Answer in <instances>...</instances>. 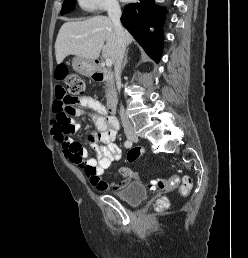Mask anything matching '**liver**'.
Segmentation results:
<instances>
[{"instance_id": "obj_1", "label": "liver", "mask_w": 248, "mask_h": 258, "mask_svg": "<svg viewBox=\"0 0 248 258\" xmlns=\"http://www.w3.org/2000/svg\"><path fill=\"white\" fill-rule=\"evenodd\" d=\"M126 44L133 41L131 34L124 30ZM117 37L113 23L105 16H95L84 21L66 22L59 30L55 54L57 64L68 55H75L91 61L102 51L103 57L115 63Z\"/></svg>"}]
</instances>
